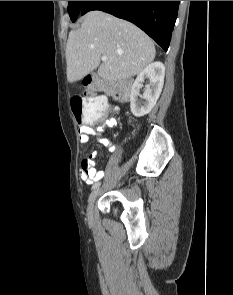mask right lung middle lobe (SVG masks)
I'll return each mask as SVG.
<instances>
[{
    "label": "right lung middle lobe",
    "instance_id": "right-lung-middle-lobe-1",
    "mask_svg": "<svg viewBox=\"0 0 233 295\" xmlns=\"http://www.w3.org/2000/svg\"><path fill=\"white\" fill-rule=\"evenodd\" d=\"M86 1H68V13L72 22H75Z\"/></svg>",
    "mask_w": 233,
    "mask_h": 295
}]
</instances>
